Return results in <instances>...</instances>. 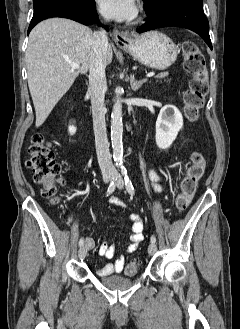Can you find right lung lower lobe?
<instances>
[{
	"instance_id": "obj_1",
	"label": "right lung lower lobe",
	"mask_w": 240,
	"mask_h": 329,
	"mask_svg": "<svg viewBox=\"0 0 240 329\" xmlns=\"http://www.w3.org/2000/svg\"><path fill=\"white\" fill-rule=\"evenodd\" d=\"M34 14L28 28V34L40 21L52 18H68L84 25H89L98 20L95 0L88 4H73L60 0L34 1ZM108 30V28H106Z\"/></svg>"
}]
</instances>
